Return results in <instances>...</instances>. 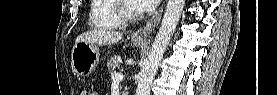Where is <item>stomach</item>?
Returning a JSON list of instances; mask_svg holds the SVG:
<instances>
[{
    "instance_id": "0dacf381",
    "label": "stomach",
    "mask_w": 277,
    "mask_h": 95,
    "mask_svg": "<svg viewBox=\"0 0 277 95\" xmlns=\"http://www.w3.org/2000/svg\"><path fill=\"white\" fill-rule=\"evenodd\" d=\"M132 42L136 46H140L145 40L132 36ZM99 57L100 52L96 44H89L84 41L78 42L71 52L72 69L79 76H88L95 70Z\"/></svg>"
}]
</instances>
